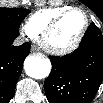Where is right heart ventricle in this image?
<instances>
[{
	"instance_id": "obj_1",
	"label": "right heart ventricle",
	"mask_w": 103,
	"mask_h": 103,
	"mask_svg": "<svg viewBox=\"0 0 103 103\" xmlns=\"http://www.w3.org/2000/svg\"><path fill=\"white\" fill-rule=\"evenodd\" d=\"M71 8L70 6L49 7L36 11L26 21L25 30L30 37H39L45 27L60 13Z\"/></svg>"
}]
</instances>
